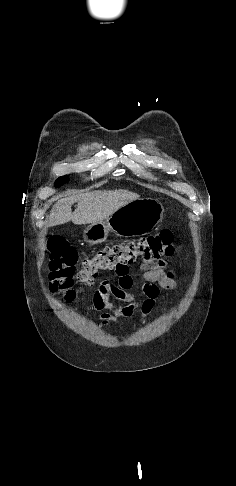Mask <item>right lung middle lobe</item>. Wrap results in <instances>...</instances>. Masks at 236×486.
<instances>
[{
  "mask_svg": "<svg viewBox=\"0 0 236 486\" xmlns=\"http://www.w3.org/2000/svg\"><path fill=\"white\" fill-rule=\"evenodd\" d=\"M68 181H69V178L67 176L59 177L55 182V186L59 187V186L63 185L64 183L68 182Z\"/></svg>",
  "mask_w": 236,
  "mask_h": 486,
  "instance_id": "right-lung-middle-lobe-1",
  "label": "right lung middle lobe"
}]
</instances>
